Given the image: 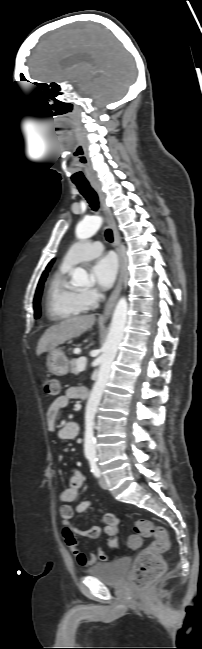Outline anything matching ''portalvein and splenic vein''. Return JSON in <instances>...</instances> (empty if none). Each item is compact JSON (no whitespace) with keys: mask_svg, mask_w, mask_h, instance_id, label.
<instances>
[{"mask_svg":"<svg viewBox=\"0 0 202 649\" xmlns=\"http://www.w3.org/2000/svg\"><path fill=\"white\" fill-rule=\"evenodd\" d=\"M77 368L80 372L84 371L86 368V358L82 357L77 362Z\"/></svg>","mask_w":202,"mask_h":649,"instance_id":"1","label":"portal vein and splenic vein"}]
</instances>
